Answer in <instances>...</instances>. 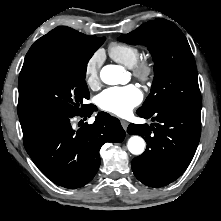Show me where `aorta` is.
<instances>
[{
	"instance_id": "762f6f07",
	"label": "aorta",
	"mask_w": 221,
	"mask_h": 221,
	"mask_svg": "<svg viewBox=\"0 0 221 221\" xmlns=\"http://www.w3.org/2000/svg\"><path fill=\"white\" fill-rule=\"evenodd\" d=\"M123 68L118 65H106L101 69L100 78L108 85H116L120 83ZM128 150L134 155H140L144 152L145 141L140 136H132L128 140Z\"/></svg>"
}]
</instances>
